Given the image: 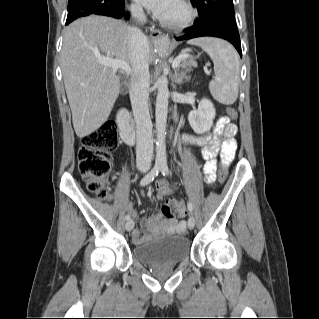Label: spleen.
<instances>
[{"mask_svg":"<svg viewBox=\"0 0 319 319\" xmlns=\"http://www.w3.org/2000/svg\"><path fill=\"white\" fill-rule=\"evenodd\" d=\"M201 47L214 63L215 78L209 83V90L219 103L233 104L238 97L240 80L239 59L234 48L216 38H199L188 42Z\"/></svg>","mask_w":319,"mask_h":319,"instance_id":"spleen-1","label":"spleen"}]
</instances>
